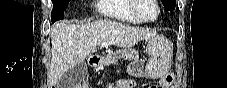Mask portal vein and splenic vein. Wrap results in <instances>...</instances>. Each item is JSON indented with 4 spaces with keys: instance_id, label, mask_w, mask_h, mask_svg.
I'll list each match as a JSON object with an SVG mask.
<instances>
[{
    "instance_id": "portal-vein-and-splenic-vein-1",
    "label": "portal vein and splenic vein",
    "mask_w": 227,
    "mask_h": 88,
    "mask_svg": "<svg viewBox=\"0 0 227 88\" xmlns=\"http://www.w3.org/2000/svg\"><path fill=\"white\" fill-rule=\"evenodd\" d=\"M101 47H108V43L102 42V43H101Z\"/></svg>"
}]
</instances>
